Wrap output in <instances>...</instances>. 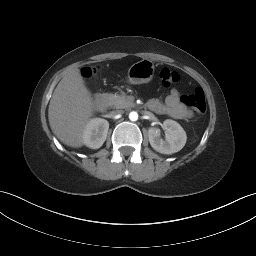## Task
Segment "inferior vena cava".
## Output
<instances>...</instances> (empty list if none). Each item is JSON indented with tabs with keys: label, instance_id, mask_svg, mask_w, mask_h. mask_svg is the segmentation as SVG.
I'll return each mask as SVG.
<instances>
[{
	"label": "inferior vena cava",
	"instance_id": "602c4592",
	"mask_svg": "<svg viewBox=\"0 0 256 256\" xmlns=\"http://www.w3.org/2000/svg\"><path fill=\"white\" fill-rule=\"evenodd\" d=\"M121 113H122V110H114V111L111 112V115L115 116V115H119Z\"/></svg>",
	"mask_w": 256,
	"mask_h": 256
}]
</instances>
